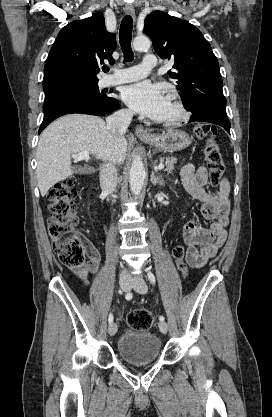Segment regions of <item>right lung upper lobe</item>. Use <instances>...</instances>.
I'll use <instances>...</instances> for the list:
<instances>
[{"label":"right lung upper lobe","mask_w":272,"mask_h":417,"mask_svg":"<svg viewBox=\"0 0 272 417\" xmlns=\"http://www.w3.org/2000/svg\"><path fill=\"white\" fill-rule=\"evenodd\" d=\"M116 36L105 29L102 14L66 25L58 34L44 67L43 89L97 83L99 65L113 61Z\"/></svg>","instance_id":"obj_1"}]
</instances>
